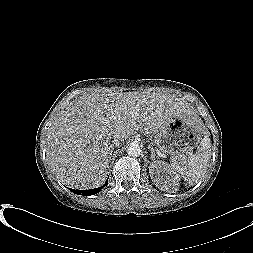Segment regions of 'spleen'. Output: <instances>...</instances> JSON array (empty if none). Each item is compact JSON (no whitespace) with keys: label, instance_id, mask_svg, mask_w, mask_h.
Here are the masks:
<instances>
[{"label":"spleen","instance_id":"spleen-1","mask_svg":"<svg viewBox=\"0 0 253 253\" xmlns=\"http://www.w3.org/2000/svg\"><path fill=\"white\" fill-rule=\"evenodd\" d=\"M200 125L203 129L204 137L196 153L191 155L188 159L182 156L171 159L172 169L190 184L198 181L201 176L206 173L211 158V140L209 138V132L204 127L203 122Z\"/></svg>","mask_w":253,"mask_h":253}]
</instances>
